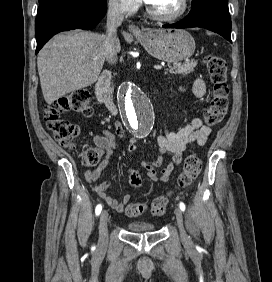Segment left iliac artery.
<instances>
[{
  "label": "left iliac artery",
  "instance_id": "1",
  "mask_svg": "<svg viewBox=\"0 0 272 282\" xmlns=\"http://www.w3.org/2000/svg\"><path fill=\"white\" fill-rule=\"evenodd\" d=\"M179 207L182 211L185 210V204L183 202H180Z\"/></svg>",
  "mask_w": 272,
  "mask_h": 282
}]
</instances>
